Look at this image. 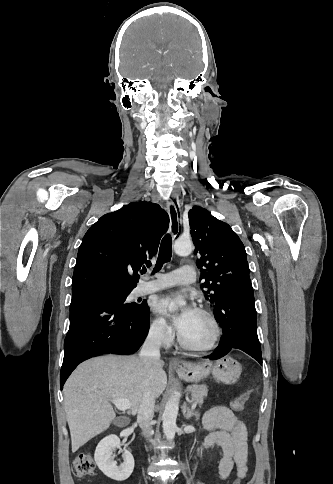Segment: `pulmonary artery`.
<instances>
[{
	"mask_svg": "<svg viewBox=\"0 0 333 484\" xmlns=\"http://www.w3.org/2000/svg\"><path fill=\"white\" fill-rule=\"evenodd\" d=\"M195 280V269L191 265H183L176 270L156 274L153 280L142 282L137 286L136 292L145 295L169 287L192 284Z\"/></svg>",
	"mask_w": 333,
	"mask_h": 484,
	"instance_id": "obj_1",
	"label": "pulmonary artery"
}]
</instances>
